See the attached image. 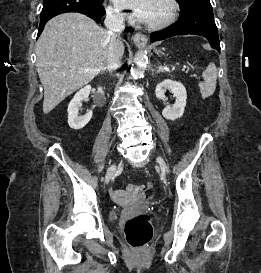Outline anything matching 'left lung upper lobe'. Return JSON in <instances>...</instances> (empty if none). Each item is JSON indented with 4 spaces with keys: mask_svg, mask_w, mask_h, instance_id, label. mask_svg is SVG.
Instances as JSON below:
<instances>
[{
    "mask_svg": "<svg viewBox=\"0 0 261 273\" xmlns=\"http://www.w3.org/2000/svg\"><path fill=\"white\" fill-rule=\"evenodd\" d=\"M189 1H191V0H177V2L179 3L180 6L188 3Z\"/></svg>",
    "mask_w": 261,
    "mask_h": 273,
    "instance_id": "5c2ea615",
    "label": "left lung upper lobe"
}]
</instances>
